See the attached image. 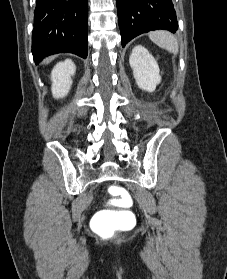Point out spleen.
<instances>
[{"instance_id": "1", "label": "spleen", "mask_w": 227, "mask_h": 279, "mask_svg": "<svg viewBox=\"0 0 227 279\" xmlns=\"http://www.w3.org/2000/svg\"><path fill=\"white\" fill-rule=\"evenodd\" d=\"M150 39L159 47L170 51L171 53H178V42L174 35L167 31H154L149 34Z\"/></svg>"}]
</instances>
